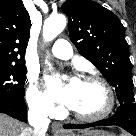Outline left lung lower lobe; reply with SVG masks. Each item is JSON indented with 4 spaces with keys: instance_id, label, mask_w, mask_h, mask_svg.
Listing matches in <instances>:
<instances>
[{
    "instance_id": "obj_1",
    "label": "left lung lower lobe",
    "mask_w": 136,
    "mask_h": 136,
    "mask_svg": "<svg viewBox=\"0 0 136 136\" xmlns=\"http://www.w3.org/2000/svg\"><path fill=\"white\" fill-rule=\"evenodd\" d=\"M104 125H116L119 126L133 136H136V103H128L120 105L117 109L115 115L109 119L97 121L90 124L84 125H74L67 124L65 128H88L94 126H104Z\"/></svg>"
}]
</instances>
